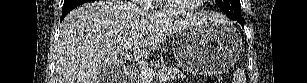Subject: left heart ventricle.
I'll return each instance as SVG.
<instances>
[{"label":"left heart ventricle","mask_w":307,"mask_h":83,"mask_svg":"<svg viewBox=\"0 0 307 83\" xmlns=\"http://www.w3.org/2000/svg\"><path fill=\"white\" fill-rule=\"evenodd\" d=\"M197 2L198 0H170L171 5L175 8L191 7Z\"/></svg>","instance_id":"obj_1"}]
</instances>
